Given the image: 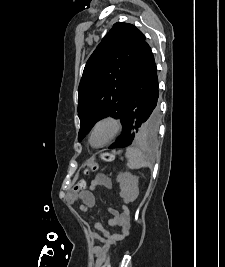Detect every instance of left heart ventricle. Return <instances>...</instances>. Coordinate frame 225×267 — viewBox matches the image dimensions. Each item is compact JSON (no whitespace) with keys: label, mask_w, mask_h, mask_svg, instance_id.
Segmentation results:
<instances>
[{"label":"left heart ventricle","mask_w":225,"mask_h":267,"mask_svg":"<svg viewBox=\"0 0 225 267\" xmlns=\"http://www.w3.org/2000/svg\"><path fill=\"white\" fill-rule=\"evenodd\" d=\"M113 126L109 122L98 125L92 135V143L94 145H100L105 142L112 134Z\"/></svg>","instance_id":"obj_1"}]
</instances>
